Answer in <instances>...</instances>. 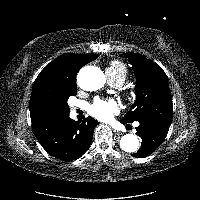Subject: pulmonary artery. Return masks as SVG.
<instances>
[{"mask_svg":"<svg viewBox=\"0 0 200 200\" xmlns=\"http://www.w3.org/2000/svg\"><path fill=\"white\" fill-rule=\"evenodd\" d=\"M114 86H116V87H119V86H121L122 85V83L121 82H112V81H110Z\"/></svg>","mask_w":200,"mask_h":200,"instance_id":"obj_1","label":"pulmonary artery"}]
</instances>
